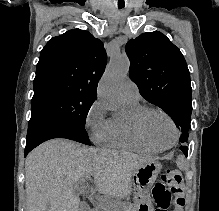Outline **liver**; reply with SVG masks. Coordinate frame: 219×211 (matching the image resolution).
I'll list each match as a JSON object with an SVG mask.
<instances>
[{"instance_id":"1","label":"liver","mask_w":219,"mask_h":211,"mask_svg":"<svg viewBox=\"0 0 219 211\" xmlns=\"http://www.w3.org/2000/svg\"><path fill=\"white\" fill-rule=\"evenodd\" d=\"M151 159L117 149H83L64 137L48 139L26 157V211H78L81 203L74 185L88 175H93L96 189L87 185L84 193L127 197L133 189V173Z\"/></svg>"}]
</instances>
